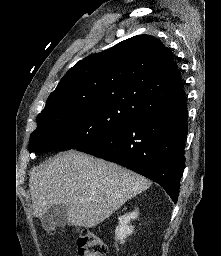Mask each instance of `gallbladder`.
Returning a JSON list of instances; mask_svg holds the SVG:
<instances>
[{
    "instance_id": "bac80fb5",
    "label": "gallbladder",
    "mask_w": 221,
    "mask_h": 256,
    "mask_svg": "<svg viewBox=\"0 0 221 256\" xmlns=\"http://www.w3.org/2000/svg\"><path fill=\"white\" fill-rule=\"evenodd\" d=\"M67 208L63 205H53L40 218L42 226L46 230H54L55 227L66 224Z\"/></svg>"
}]
</instances>
